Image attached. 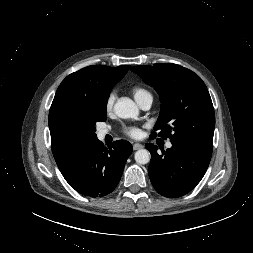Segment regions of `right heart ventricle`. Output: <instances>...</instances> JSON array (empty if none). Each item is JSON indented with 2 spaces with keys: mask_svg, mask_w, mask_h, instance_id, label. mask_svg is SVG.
Segmentation results:
<instances>
[{
  "mask_svg": "<svg viewBox=\"0 0 253 253\" xmlns=\"http://www.w3.org/2000/svg\"><path fill=\"white\" fill-rule=\"evenodd\" d=\"M131 92L133 94V97L137 101V103L142 101L145 97H149V96L152 97L151 93L147 89H145L144 87H140V86H134L131 89Z\"/></svg>",
  "mask_w": 253,
  "mask_h": 253,
  "instance_id": "e07e8e85",
  "label": "right heart ventricle"
}]
</instances>
